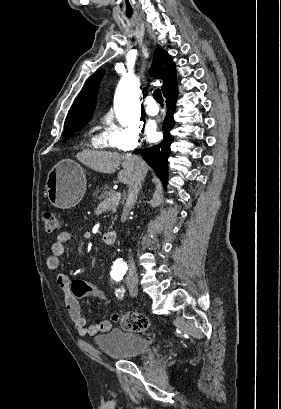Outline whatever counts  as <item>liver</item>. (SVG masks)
<instances>
[{
	"label": "liver",
	"instance_id": "liver-1",
	"mask_svg": "<svg viewBox=\"0 0 281 409\" xmlns=\"http://www.w3.org/2000/svg\"><path fill=\"white\" fill-rule=\"evenodd\" d=\"M76 158L92 168V170H98V172H108L112 174L115 172L116 168H119L122 164V170L118 172V178L120 182L124 184H129L131 178L134 174V164L132 158H140V156H124V154H119V152H108V150H81L76 154ZM150 166L146 164L144 166V172H148Z\"/></svg>",
	"mask_w": 281,
	"mask_h": 409
}]
</instances>
